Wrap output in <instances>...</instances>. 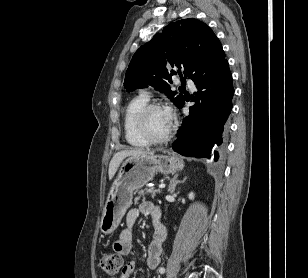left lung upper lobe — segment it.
Instances as JSON below:
<instances>
[{
	"label": "left lung upper lobe",
	"mask_w": 308,
	"mask_h": 278,
	"mask_svg": "<svg viewBox=\"0 0 308 278\" xmlns=\"http://www.w3.org/2000/svg\"><path fill=\"white\" fill-rule=\"evenodd\" d=\"M224 60L220 41L204 22L194 18L178 20L135 52L124 87L131 92L153 86L180 107L184 96L179 94L173 98L176 92L171 91L168 84L172 82L171 77L178 72L182 79L195 81L210 74Z\"/></svg>",
	"instance_id": "5c2ea615"
}]
</instances>
